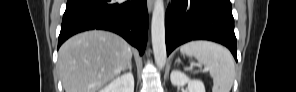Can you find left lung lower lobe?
I'll return each instance as SVG.
<instances>
[{"label":"left lung lower lobe","instance_id":"1","mask_svg":"<svg viewBox=\"0 0 296 92\" xmlns=\"http://www.w3.org/2000/svg\"><path fill=\"white\" fill-rule=\"evenodd\" d=\"M165 16L167 55L191 40H210L229 48L237 60L230 0H172Z\"/></svg>","mask_w":296,"mask_h":92}]
</instances>
